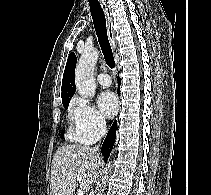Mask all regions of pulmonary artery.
Here are the masks:
<instances>
[{
    "label": "pulmonary artery",
    "instance_id": "obj_1",
    "mask_svg": "<svg viewBox=\"0 0 211 195\" xmlns=\"http://www.w3.org/2000/svg\"><path fill=\"white\" fill-rule=\"evenodd\" d=\"M97 81L98 83L103 87V88H108L111 86V77L106 74V73H102L97 77Z\"/></svg>",
    "mask_w": 211,
    "mask_h": 195
}]
</instances>
